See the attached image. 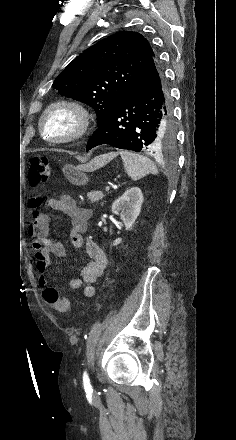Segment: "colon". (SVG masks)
<instances>
[{
  "mask_svg": "<svg viewBox=\"0 0 236 440\" xmlns=\"http://www.w3.org/2000/svg\"><path fill=\"white\" fill-rule=\"evenodd\" d=\"M50 175V167L47 157L36 156L31 160L28 180L31 186L38 187L44 184ZM46 303L60 314H70L71 307L67 298L60 297L53 287H46L43 291Z\"/></svg>",
  "mask_w": 236,
  "mask_h": 440,
  "instance_id": "1",
  "label": "colon"
}]
</instances>
